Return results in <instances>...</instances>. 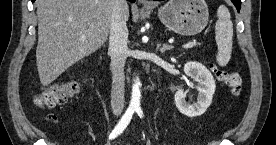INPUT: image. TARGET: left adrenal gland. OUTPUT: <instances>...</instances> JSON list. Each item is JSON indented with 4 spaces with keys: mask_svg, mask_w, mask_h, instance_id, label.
Segmentation results:
<instances>
[{
    "mask_svg": "<svg viewBox=\"0 0 276 145\" xmlns=\"http://www.w3.org/2000/svg\"><path fill=\"white\" fill-rule=\"evenodd\" d=\"M157 46H158V48H160L161 53H164L167 50L173 49V46L172 45H168V44H163L162 47H161V44H158Z\"/></svg>",
    "mask_w": 276,
    "mask_h": 145,
    "instance_id": "a2214340",
    "label": "left adrenal gland"
}]
</instances>
